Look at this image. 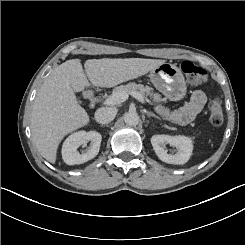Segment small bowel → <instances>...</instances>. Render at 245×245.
Segmentation results:
<instances>
[{"instance_id":"c3829d8e","label":"small bowel","mask_w":245,"mask_h":245,"mask_svg":"<svg viewBox=\"0 0 245 245\" xmlns=\"http://www.w3.org/2000/svg\"><path fill=\"white\" fill-rule=\"evenodd\" d=\"M153 100L156 103L158 111L168 119L178 124H187L194 120L202 111L206 104L207 97L202 90H196L185 105L173 111H170L163 106L161 97L158 94L153 95Z\"/></svg>"}]
</instances>
